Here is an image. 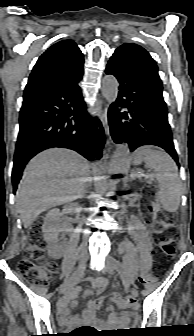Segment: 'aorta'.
Returning <instances> with one entry per match:
<instances>
[{
  "mask_svg": "<svg viewBox=\"0 0 194 336\" xmlns=\"http://www.w3.org/2000/svg\"><path fill=\"white\" fill-rule=\"evenodd\" d=\"M102 95L108 103H113L118 96V82L112 75H107L102 81ZM129 147L126 143L119 144L109 164L108 172L111 176L124 174L129 166ZM117 179H111L108 183L109 190L113 191L117 185Z\"/></svg>",
  "mask_w": 194,
  "mask_h": 336,
  "instance_id": "1",
  "label": "aorta"
}]
</instances>
